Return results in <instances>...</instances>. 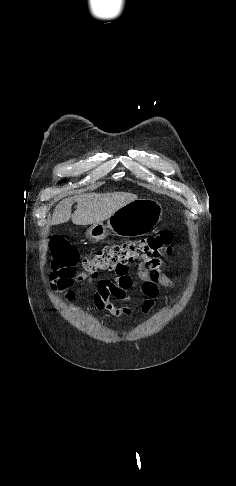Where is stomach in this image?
I'll return each mask as SVG.
<instances>
[{"instance_id": "obj_1", "label": "stomach", "mask_w": 236, "mask_h": 486, "mask_svg": "<svg viewBox=\"0 0 236 486\" xmlns=\"http://www.w3.org/2000/svg\"><path fill=\"white\" fill-rule=\"evenodd\" d=\"M163 208L154 199H136L114 212L107 224H93L86 233L87 238L99 241L106 237L108 230L117 236L135 237L148 234L161 221Z\"/></svg>"}]
</instances>
